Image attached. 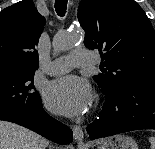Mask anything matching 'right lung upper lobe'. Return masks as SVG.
Instances as JSON below:
<instances>
[{"instance_id":"1","label":"right lung upper lobe","mask_w":155,"mask_h":149,"mask_svg":"<svg viewBox=\"0 0 155 149\" xmlns=\"http://www.w3.org/2000/svg\"><path fill=\"white\" fill-rule=\"evenodd\" d=\"M32 0H22L0 12V68L17 72L38 69L36 47L44 29Z\"/></svg>"}]
</instances>
